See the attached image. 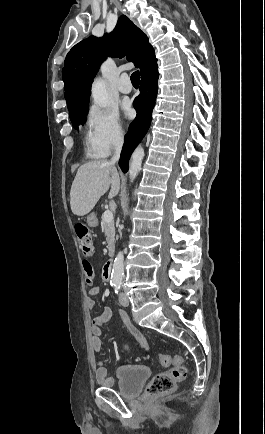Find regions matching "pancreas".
<instances>
[{"instance_id":"cf45deb5","label":"pancreas","mask_w":265,"mask_h":434,"mask_svg":"<svg viewBox=\"0 0 265 434\" xmlns=\"http://www.w3.org/2000/svg\"><path fill=\"white\" fill-rule=\"evenodd\" d=\"M102 230L106 236V242L108 244V250L110 248H114V240H115V228L113 222H101Z\"/></svg>"}]
</instances>
